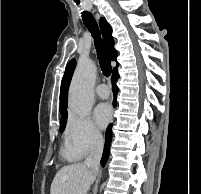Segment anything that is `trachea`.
<instances>
[{"instance_id": "trachea-1", "label": "trachea", "mask_w": 201, "mask_h": 194, "mask_svg": "<svg viewBox=\"0 0 201 194\" xmlns=\"http://www.w3.org/2000/svg\"><path fill=\"white\" fill-rule=\"evenodd\" d=\"M79 4V2H76ZM82 19L87 27V29L90 31L93 39H94V44L97 52V56L99 59L100 67L103 72V74L108 77L111 75L112 71V66H111V61L108 55V52L106 50V47L104 45V42L101 38L100 31L97 25V22L93 15L90 12L84 11L82 12Z\"/></svg>"}]
</instances>
